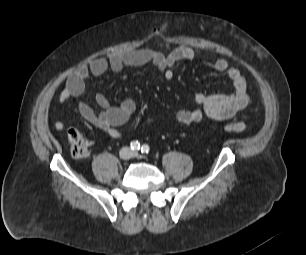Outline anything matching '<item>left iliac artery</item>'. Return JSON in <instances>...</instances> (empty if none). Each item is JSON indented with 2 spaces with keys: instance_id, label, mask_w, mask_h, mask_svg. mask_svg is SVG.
Segmentation results:
<instances>
[{
  "instance_id": "44dca946",
  "label": "left iliac artery",
  "mask_w": 306,
  "mask_h": 255,
  "mask_svg": "<svg viewBox=\"0 0 306 255\" xmlns=\"http://www.w3.org/2000/svg\"><path fill=\"white\" fill-rule=\"evenodd\" d=\"M150 151V147L147 144L142 145L141 152L147 154Z\"/></svg>"
}]
</instances>
